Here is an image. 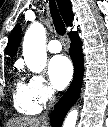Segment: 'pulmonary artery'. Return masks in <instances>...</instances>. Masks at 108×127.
<instances>
[{"instance_id":"pulmonary-artery-1","label":"pulmonary artery","mask_w":108,"mask_h":127,"mask_svg":"<svg viewBox=\"0 0 108 127\" xmlns=\"http://www.w3.org/2000/svg\"><path fill=\"white\" fill-rule=\"evenodd\" d=\"M47 49L50 53H59L62 50V45L58 40H51L47 45Z\"/></svg>"}]
</instances>
